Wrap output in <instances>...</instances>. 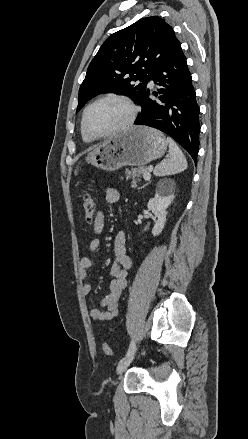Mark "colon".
<instances>
[{"label": "colon", "instance_id": "5ec220e1", "mask_svg": "<svg viewBox=\"0 0 248 439\" xmlns=\"http://www.w3.org/2000/svg\"><path fill=\"white\" fill-rule=\"evenodd\" d=\"M83 210L86 221L92 223L95 219V201L90 193H86L83 197ZM101 349L106 356H113V351L107 343H102Z\"/></svg>", "mask_w": 248, "mask_h": 439}]
</instances>
